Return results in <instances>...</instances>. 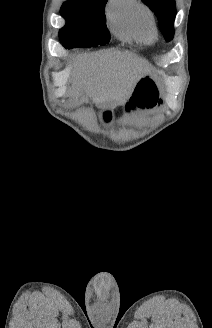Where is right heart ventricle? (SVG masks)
<instances>
[{
  "label": "right heart ventricle",
  "instance_id": "obj_1",
  "mask_svg": "<svg viewBox=\"0 0 212 328\" xmlns=\"http://www.w3.org/2000/svg\"><path fill=\"white\" fill-rule=\"evenodd\" d=\"M141 7L138 0H110L107 20L111 30L123 39L151 41L154 31L142 21Z\"/></svg>",
  "mask_w": 212,
  "mask_h": 328
}]
</instances>
